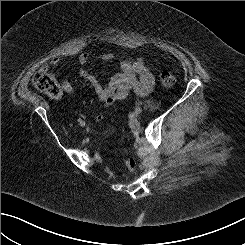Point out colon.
<instances>
[{
	"label": "colon",
	"mask_w": 245,
	"mask_h": 245,
	"mask_svg": "<svg viewBox=\"0 0 245 245\" xmlns=\"http://www.w3.org/2000/svg\"><path fill=\"white\" fill-rule=\"evenodd\" d=\"M159 81L163 88H171L175 84L176 78L173 73L164 71L160 74ZM32 83L36 89L51 98H58L61 95L60 87L53 73L46 68L40 69L33 75ZM125 163L130 171H136L138 168L137 160L134 157L127 158Z\"/></svg>",
	"instance_id": "obj_1"
}]
</instances>
